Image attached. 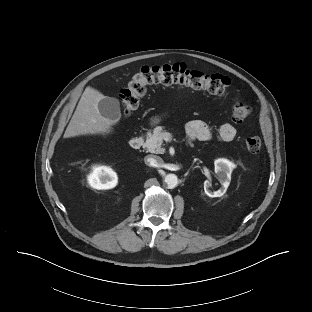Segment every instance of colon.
I'll return each mask as SVG.
<instances>
[{
	"mask_svg": "<svg viewBox=\"0 0 312 312\" xmlns=\"http://www.w3.org/2000/svg\"><path fill=\"white\" fill-rule=\"evenodd\" d=\"M183 84L193 88L203 89L214 95H226L230 80L220 74H207L192 69L183 63L145 65L142 66L119 92V99L125 115L136 110L147 87L151 84ZM232 119L235 122L245 121L250 115V107L243 102H235L231 108ZM246 148L251 153H258L262 147L259 137L251 136L245 140Z\"/></svg>",
	"mask_w": 312,
	"mask_h": 312,
	"instance_id": "1",
	"label": "colon"
}]
</instances>
